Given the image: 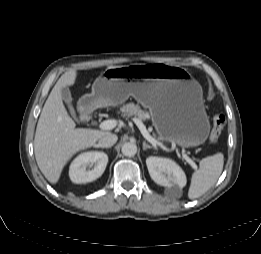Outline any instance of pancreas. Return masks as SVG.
I'll use <instances>...</instances> for the list:
<instances>
[{"label": "pancreas", "instance_id": "1", "mask_svg": "<svg viewBox=\"0 0 261 254\" xmlns=\"http://www.w3.org/2000/svg\"><path fill=\"white\" fill-rule=\"evenodd\" d=\"M123 117H138L139 120H146L149 117L148 112L143 111L139 105H135L134 103H128L123 105L120 109Z\"/></svg>", "mask_w": 261, "mask_h": 254}]
</instances>
